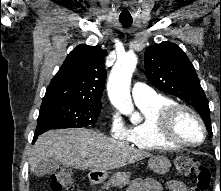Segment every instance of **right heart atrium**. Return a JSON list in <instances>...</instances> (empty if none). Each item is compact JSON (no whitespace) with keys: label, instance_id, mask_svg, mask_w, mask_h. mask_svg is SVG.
<instances>
[{"label":"right heart atrium","instance_id":"d8ad5b80","mask_svg":"<svg viewBox=\"0 0 221 191\" xmlns=\"http://www.w3.org/2000/svg\"><path fill=\"white\" fill-rule=\"evenodd\" d=\"M109 130L113 138L126 140L127 127L117 112H112L109 116Z\"/></svg>","mask_w":221,"mask_h":191}]
</instances>
